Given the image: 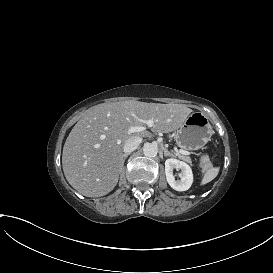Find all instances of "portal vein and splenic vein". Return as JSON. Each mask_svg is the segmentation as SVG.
<instances>
[{"label":"portal vein and splenic vein","mask_w":273,"mask_h":273,"mask_svg":"<svg viewBox=\"0 0 273 273\" xmlns=\"http://www.w3.org/2000/svg\"><path fill=\"white\" fill-rule=\"evenodd\" d=\"M145 123L147 124L148 127H152L153 124H154V121L153 120H147V121H145ZM145 129H146V127H144V126H132V127L129 128L128 132L129 133L142 132ZM178 153L179 154H184V155H189V152L183 151L182 149H179Z\"/></svg>","instance_id":"portal-vein-and-splenic-vein-1"}]
</instances>
